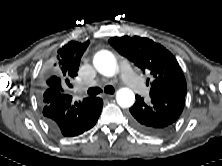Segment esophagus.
I'll use <instances>...</instances> for the list:
<instances>
[{
  "mask_svg": "<svg viewBox=\"0 0 222 166\" xmlns=\"http://www.w3.org/2000/svg\"><path fill=\"white\" fill-rule=\"evenodd\" d=\"M104 97L107 99H111L114 97V94H104Z\"/></svg>",
  "mask_w": 222,
  "mask_h": 166,
  "instance_id": "esophagus-1",
  "label": "esophagus"
}]
</instances>
